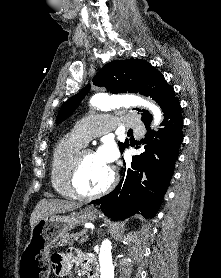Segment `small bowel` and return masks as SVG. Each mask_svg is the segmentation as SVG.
I'll return each instance as SVG.
<instances>
[{
	"mask_svg": "<svg viewBox=\"0 0 221 278\" xmlns=\"http://www.w3.org/2000/svg\"><path fill=\"white\" fill-rule=\"evenodd\" d=\"M88 260H93L91 257L80 253L78 250L70 249L66 253H55L51 257V265L53 272L58 278L71 277L73 263L75 261L82 262L86 266Z\"/></svg>",
	"mask_w": 221,
	"mask_h": 278,
	"instance_id": "c3829d8e",
	"label": "small bowel"
}]
</instances>
